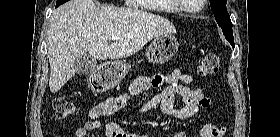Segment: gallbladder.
I'll return each mask as SVG.
<instances>
[{
    "label": "gallbladder",
    "mask_w": 280,
    "mask_h": 137,
    "mask_svg": "<svg viewBox=\"0 0 280 137\" xmlns=\"http://www.w3.org/2000/svg\"><path fill=\"white\" fill-rule=\"evenodd\" d=\"M97 64L96 58L88 53H84L77 57L74 61V68L79 75H87L94 71Z\"/></svg>",
    "instance_id": "bac80fb5"
}]
</instances>
